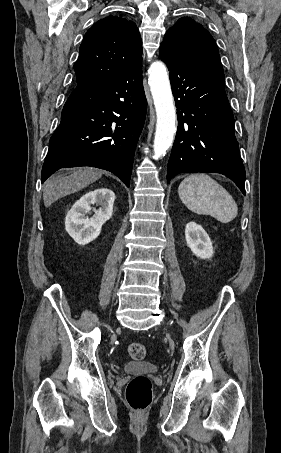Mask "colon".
Returning <instances> with one entry per match:
<instances>
[{
	"instance_id": "colon-1",
	"label": "colon",
	"mask_w": 281,
	"mask_h": 453,
	"mask_svg": "<svg viewBox=\"0 0 281 453\" xmlns=\"http://www.w3.org/2000/svg\"><path fill=\"white\" fill-rule=\"evenodd\" d=\"M130 358L134 362L145 359L146 347L142 344L132 345L129 349ZM151 382L146 376H134L125 390V399L130 411L144 413L151 404Z\"/></svg>"
}]
</instances>
